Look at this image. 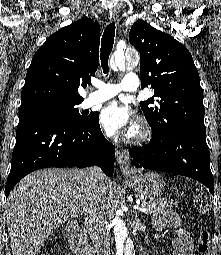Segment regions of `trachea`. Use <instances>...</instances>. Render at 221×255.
Listing matches in <instances>:
<instances>
[{"instance_id": "obj_1", "label": "trachea", "mask_w": 221, "mask_h": 255, "mask_svg": "<svg viewBox=\"0 0 221 255\" xmlns=\"http://www.w3.org/2000/svg\"><path fill=\"white\" fill-rule=\"evenodd\" d=\"M115 28H116L115 23L114 22L110 23L105 28L103 36H102L100 59H101L103 72L105 74H108L109 72L108 59L114 44Z\"/></svg>"}]
</instances>
